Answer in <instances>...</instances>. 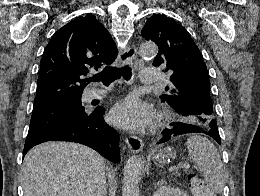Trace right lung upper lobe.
<instances>
[{
    "label": "right lung upper lobe",
    "instance_id": "1",
    "mask_svg": "<svg viewBox=\"0 0 260 196\" xmlns=\"http://www.w3.org/2000/svg\"><path fill=\"white\" fill-rule=\"evenodd\" d=\"M105 27L88 14L55 32L40 63L34 106L82 95L89 71L110 65L117 57Z\"/></svg>",
    "mask_w": 260,
    "mask_h": 196
}]
</instances>
